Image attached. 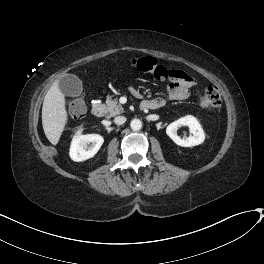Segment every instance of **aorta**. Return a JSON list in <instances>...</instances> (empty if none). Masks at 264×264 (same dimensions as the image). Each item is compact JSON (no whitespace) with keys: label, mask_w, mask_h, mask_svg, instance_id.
Wrapping results in <instances>:
<instances>
[{"label":"aorta","mask_w":264,"mask_h":264,"mask_svg":"<svg viewBox=\"0 0 264 264\" xmlns=\"http://www.w3.org/2000/svg\"><path fill=\"white\" fill-rule=\"evenodd\" d=\"M130 127L133 131H138L142 127V122L139 119H133L130 123Z\"/></svg>","instance_id":"1"}]
</instances>
